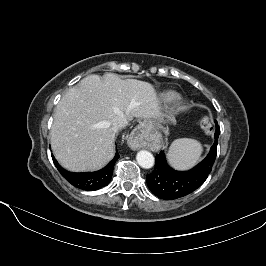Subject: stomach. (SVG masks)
<instances>
[{"instance_id": "0dacf381", "label": "stomach", "mask_w": 266, "mask_h": 266, "mask_svg": "<svg viewBox=\"0 0 266 266\" xmlns=\"http://www.w3.org/2000/svg\"><path fill=\"white\" fill-rule=\"evenodd\" d=\"M161 120H149L147 121L148 125H149V129L148 131L157 129L159 127V123Z\"/></svg>"}]
</instances>
